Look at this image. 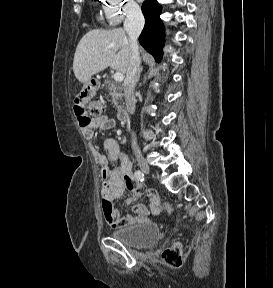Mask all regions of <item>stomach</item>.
<instances>
[{
  "label": "stomach",
  "mask_w": 273,
  "mask_h": 288,
  "mask_svg": "<svg viewBox=\"0 0 273 288\" xmlns=\"http://www.w3.org/2000/svg\"><path fill=\"white\" fill-rule=\"evenodd\" d=\"M99 81L97 79H90L86 84V87L92 92L95 93L99 88Z\"/></svg>",
  "instance_id": "obj_1"
}]
</instances>
